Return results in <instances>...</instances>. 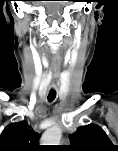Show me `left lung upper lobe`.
I'll return each instance as SVG.
<instances>
[{
    "instance_id": "5c2ea615",
    "label": "left lung upper lobe",
    "mask_w": 118,
    "mask_h": 151,
    "mask_svg": "<svg viewBox=\"0 0 118 151\" xmlns=\"http://www.w3.org/2000/svg\"><path fill=\"white\" fill-rule=\"evenodd\" d=\"M70 142L74 151H107L114 147L105 131L96 124L79 127L70 135Z\"/></svg>"
}]
</instances>
